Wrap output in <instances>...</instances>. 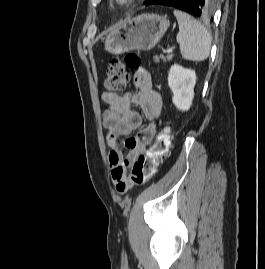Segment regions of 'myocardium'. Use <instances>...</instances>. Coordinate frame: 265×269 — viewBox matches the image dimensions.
Returning a JSON list of instances; mask_svg holds the SVG:
<instances>
[{
  "label": "myocardium",
  "mask_w": 265,
  "mask_h": 269,
  "mask_svg": "<svg viewBox=\"0 0 265 269\" xmlns=\"http://www.w3.org/2000/svg\"><path fill=\"white\" fill-rule=\"evenodd\" d=\"M136 0H113V3L118 8H128L130 7Z\"/></svg>",
  "instance_id": "1"
}]
</instances>
